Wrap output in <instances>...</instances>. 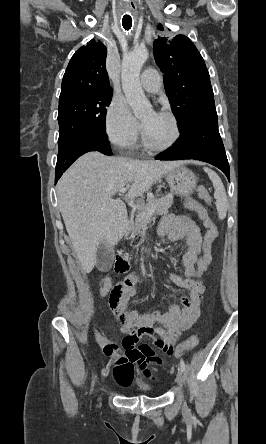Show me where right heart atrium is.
Instances as JSON below:
<instances>
[{
    "label": "right heart atrium",
    "instance_id": "obj_1",
    "mask_svg": "<svg viewBox=\"0 0 266 444\" xmlns=\"http://www.w3.org/2000/svg\"><path fill=\"white\" fill-rule=\"evenodd\" d=\"M104 125L108 139L120 149L132 147L140 133L139 122L119 96H114L107 107Z\"/></svg>",
    "mask_w": 266,
    "mask_h": 444
}]
</instances>
